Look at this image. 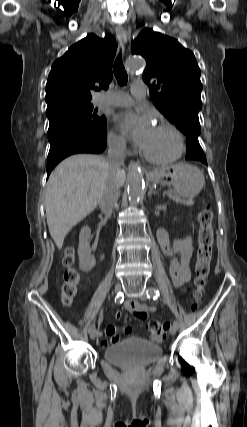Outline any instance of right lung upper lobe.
Returning <instances> with one entry per match:
<instances>
[{"label": "right lung upper lobe", "instance_id": "obj_1", "mask_svg": "<svg viewBox=\"0 0 247 427\" xmlns=\"http://www.w3.org/2000/svg\"><path fill=\"white\" fill-rule=\"evenodd\" d=\"M116 50L113 36L87 35L57 59L46 84V114L66 106L91 104V91L107 89Z\"/></svg>", "mask_w": 247, "mask_h": 427}]
</instances>
